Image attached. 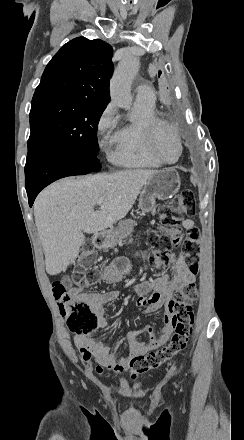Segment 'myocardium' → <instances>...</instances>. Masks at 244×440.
I'll return each instance as SVG.
<instances>
[{
  "label": "myocardium",
  "mask_w": 244,
  "mask_h": 440,
  "mask_svg": "<svg viewBox=\"0 0 244 440\" xmlns=\"http://www.w3.org/2000/svg\"><path fill=\"white\" fill-rule=\"evenodd\" d=\"M149 129L150 130H154V132H149L147 134L149 136L147 139L149 141H151V143L149 144L151 146L150 150H151V152L153 154H155L156 159L160 163H163V164H166V165H171V164L176 163L179 160V158H180V156L182 154V150H183V148H182V138H181V135H180L179 131L176 128H174L173 126H169L167 122H164V123L163 122H153L149 126ZM161 130L162 131H165V130L171 131L177 137V140H178L177 155H176L175 159H173V160H166V159H164L161 156V154L158 153V149H155L156 143H158L157 136L159 135L158 133H160Z\"/></svg>",
  "instance_id": "obj_1"
}]
</instances>
